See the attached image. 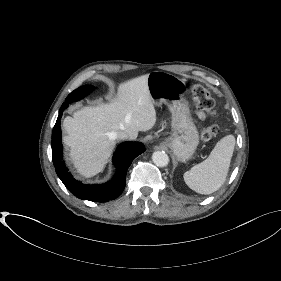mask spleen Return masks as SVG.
<instances>
[{"label": "spleen", "mask_w": 281, "mask_h": 281, "mask_svg": "<svg viewBox=\"0 0 281 281\" xmlns=\"http://www.w3.org/2000/svg\"><path fill=\"white\" fill-rule=\"evenodd\" d=\"M235 146L233 135L222 138L209 157L184 173L189 188L200 194H211L225 182Z\"/></svg>", "instance_id": "3e777b00"}]
</instances>
